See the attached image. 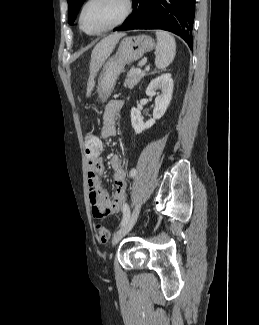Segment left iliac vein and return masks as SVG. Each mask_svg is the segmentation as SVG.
<instances>
[{"label":"left iliac vein","mask_w":259,"mask_h":325,"mask_svg":"<svg viewBox=\"0 0 259 325\" xmlns=\"http://www.w3.org/2000/svg\"><path fill=\"white\" fill-rule=\"evenodd\" d=\"M141 209V203H138L129 219L120 227L112 238V246H115L125 235H127L135 225Z\"/></svg>","instance_id":"left-iliac-vein-1"}]
</instances>
